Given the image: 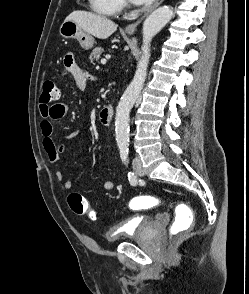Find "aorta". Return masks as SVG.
<instances>
[{
    "mask_svg": "<svg viewBox=\"0 0 249 294\" xmlns=\"http://www.w3.org/2000/svg\"><path fill=\"white\" fill-rule=\"evenodd\" d=\"M173 15V8L163 6L153 11L144 21L141 59L137 64L134 78L123 93L116 109L115 133L116 142L120 148H126L129 143L130 112L146 79L150 59V43L152 38L172 19Z\"/></svg>",
    "mask_w": 249,
    "mask_h": 294,
    "instance_id": "762f6f07",
    "label": "aorta"
}]
</instances>
